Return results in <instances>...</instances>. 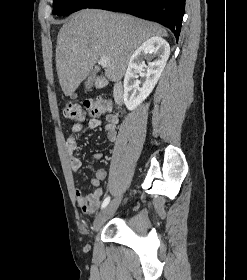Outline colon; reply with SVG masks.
Wrapping results in <instances>:
<instances>
[{"label":"colon","mask_w":247,"mask_h":280,"mask_svg":"<svg viewBox=\"0 0 247 280\" xmlns=\"http://www.w3.org/2000/svg\"><path fill=\"white\" fill-rule=\"evenodd\" d=\"M111 111V105L103 99H88L79 104L77 102H69L65 109L64 115L71 120L80 121L85 117V114L100 115Z\"/></svg>","instance_id":"colon-1"}]
</instances>
